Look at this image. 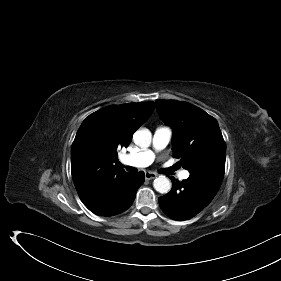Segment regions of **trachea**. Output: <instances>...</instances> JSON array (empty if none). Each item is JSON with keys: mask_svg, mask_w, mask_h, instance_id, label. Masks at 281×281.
<instances>
[{"mask_svg": "<svg viewBox=\"0 0 281 281\" xmlns=\"http://www.w3.org/2000/svg\"><path fill=\"white\" fill-rule=\"evenodd\" d=\"M176 169H177V166H173V167H171V168H167V169H165V173H168V174H169V173L175 171ZM126 170H127V171H131V172H136V171H137L136 168L130 167V166H127V167H126Z\"/></svg>", "mask_w": 281, "mask_h": 281, "instance_id": "trachea-1", "label": "trachea"}]
</instances>
